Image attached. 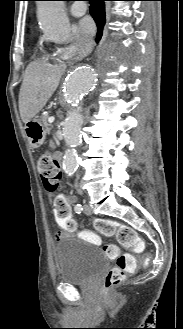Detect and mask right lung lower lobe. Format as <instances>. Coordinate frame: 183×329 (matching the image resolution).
Listing matches in <instances>:
<instances>
[{
  "instance_id": "right-lung-lower-lobe-1",
  "label": "right lung lower lobe",
  "mask_w": 183,
  "mask_h": 329,
  "mask_svg": "<svg viewBox=\"0 0 183 329\" xmlns=\"http://www.w3.org/2000/svg\"><path fill=\"white\" fill-rule=\"evenodd\" d=\"M104 1L105 0H90L91 6L89 7V11L97 25L96 42L102 37L103 27L106 21Z\"/></svg>"
}]
</instances>
